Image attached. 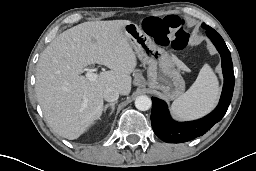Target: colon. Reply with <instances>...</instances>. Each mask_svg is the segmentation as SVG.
<instances>
[{
	"label": "colon",
	"mask_w": 256,
	"mask_h": 171,
	"mask_svg": "<svg viewBox=\"0 0 256 171\" xmlns=\"http://www.w3.org/2000/svg\"><path fill=\"white\" fill-rule=\"evenodd\" d=\"M143 28L160 46L176 50H182L186 46L187 32L184 22L178 16L147 18L143 22Z\"/></svg>",
	"instance_id": "obj_1"
}]
</instances>
